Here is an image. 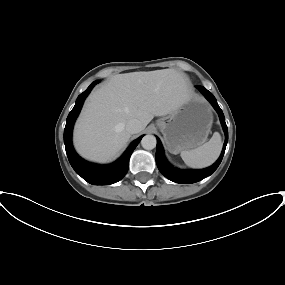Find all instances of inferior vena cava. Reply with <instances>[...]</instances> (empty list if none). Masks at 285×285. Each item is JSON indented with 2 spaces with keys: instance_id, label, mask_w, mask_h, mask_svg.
<instances>
[{
  "instance_id": "obj_1",
  "label": "inferior vena cava",
  "mask_w": 285,
  "mask_h": 285,
  "mask_svg": "<svg viewBox=\"0 0 285 285\" xmlns=\"http://www.w3.org/2000/svg\"><path fill=\"white\" fill-rule=\"evenodd\" d=\"M126 130L130 133V134H136L139 133L141 131V123L139 120L137 119H131L127 122L126 124Z\"/></svg>"
}]
</instances>
